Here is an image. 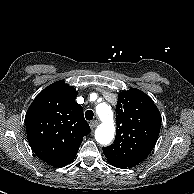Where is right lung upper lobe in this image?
Listing matches in <instances>:
<instances>
[{"label": "right lung upper lobe", "instance_id": "cb5924a9", "mask_svg": "<svg viewBox=\"0 0 194 194\" xmlns=\"http://www.w3.org/2000/svg\"><path fill=\"white\" fill-rule=\"evenodd\" d=\"M78 92L63 81L42 90L26 117L27 138L33 152L53 167L71 163L90 127L83 108L75 102Z\"/></svg>", "mask_w": 194, "mask_h": 194}]
</instances>
